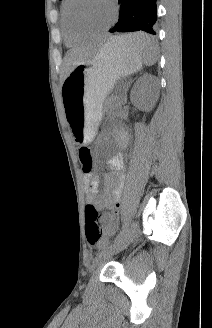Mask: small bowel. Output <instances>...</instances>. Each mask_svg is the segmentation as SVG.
<instances>
[{"instance_id": "1", "label": "small bowel", "mask_w": 212, "mask_h": 328, "mask_svg": "<svg viewBox=\"0 0 212 328\" xmlns=\"http://www.w3.org/2000/svg\"><path fill=\"white\" fill-rule=\"evenodd\" d=\"M111 173L106 178L107 189L99 194V181L92 172H84V182L89 193L88 201L97 209H106L102 216V225L105 235L112 236L118 225V213L121 207V196L124 183V159L117 155L109 161Z\"/></svg>"}]
</instances>
